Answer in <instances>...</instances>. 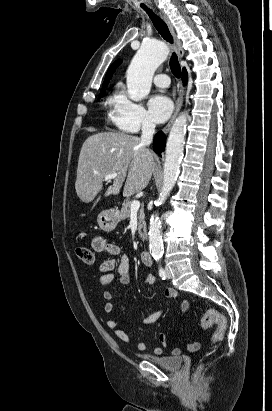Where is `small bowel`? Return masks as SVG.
<instances>
[{
    "instance_id": "small-bowel-1",
    "label": "small bowel",
    "mask_w": 272,
    "mask_h": 411,
    "mask_svg": "<svg viewBox=\"0 0 272 411\" xmlns=\"http://www.w3.org/2000/svg\"><path fill=\"white\" fill-rule=\"evenodd\" d=\"M92 248L98 253H108L112 256V258H108L104 260L100 264V283L104 286L111 285L115 280V273H117V280L120 284L125 285L130 280V261L129 258L122 254L120 246L113 242L107 241L102 236H96L92 240ZM157 282L156 277L153 274H147L144 278V284L146 285H154ZM165 296L169 299H175L179 297V293L174 288H168L165 290ZM103 298L105 300L104 304V312L106 314L112 313L114 309L113 305V294L110 291L103 292ZM180 313L184 315L189 308V302L187 300H182L180 302ZM164 313V310H158L150 315L146 316L145 318L138 321V323L142 325H149L156 322L160 316ZM106 326L110 329L114 335L125 343H131L133 340L130 335L125 332L114 320L109 319L106 321ZM184 328V322L181 320V325L179 331H182ZM159 341L161 346H155L153 348V352L156 355H160L163 353V349L168 344V334L161 333L159 335ZM135 348L138 351H144L146 349V344L142 340L135 341ZM200 348V343L192 342L188 345L187 349L190 352L197 351ZM173 355H180L181 349L180 348H173L172 349Z\"/></svg>"
}]
</instances>
